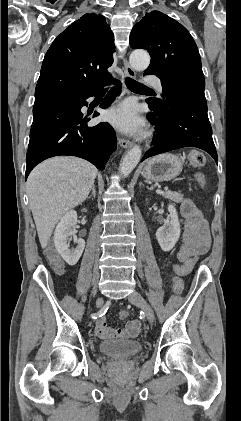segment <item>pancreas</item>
<instances>
[{"instance_id": "pancreas-1", "label": "pancreas", "mask_w": 241, "mask_h": 421, "mask_svg": "<svg viewBox=\"0 0 241 421\" xmlns=\"http://www.w3.org/2000/svg\"><path fill=\"white\" fill-rule=\"evenodd\" d=\"M163 197L172 200L173 202L180 203L183 201V195L178 192H172L169 190L160 193Z\"/></svg>"}]
</instances>
